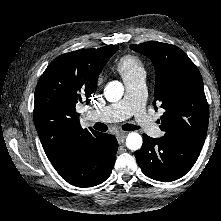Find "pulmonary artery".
Instances as JSON below:
<instances>
[{
	"instance_id": "1",
	"label": "pulmonary artery",
	"mask_w": 221,
	"mask_h": 221,
	"mask_svg": "<svg viewBox=\"0 0 221 221\" xmlns=\"http://www.w3.org/2000/svg\"><path fill=\"white\" fill-rule=\"evenodd\" d=\"M144 79L145 74H141L133 80L125 81L126 93L122 100L104 108L88 112L86 119L109 123L132 118V122L138 129L152 137L160 136L161 131L158 125L142 108L146 96Z\"/></svg>"
}]
</instances>
